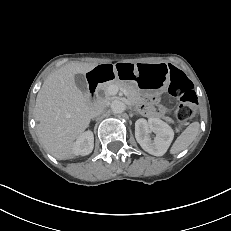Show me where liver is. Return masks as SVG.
Returning <instances> with one entry per match:
<instances>
[{"instance_id":"liver-1","label":"liver","mask_w":231,"mask_h":231,"mask_svg":"<svg viewBox=\"0 0 231 231\" xmlns=\"http://www.w3.org/2000/svg\"><path fill=\"white\" fill-rule=\"evenodd\" d=\"M96 64L72 62L50 73L38 92L35 118L38 138L59 160L75 156V142L90 123L91 107L75 84L76 74H85Z\"/></svg>"}]
</instances>
